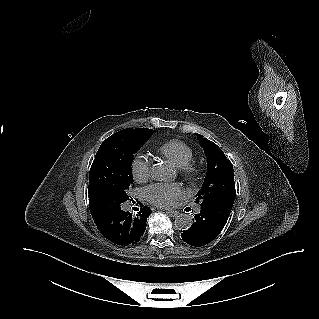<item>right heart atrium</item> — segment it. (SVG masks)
I'll return each mask as SVG.
<instances>
[{
	"label": "right heart atrium",
	"mask_w": 319,
	"mask_h": 319,
	"mask_svg": "<svg viewBox=\"0 0 319 319\" xmlns=\"http://www.w3.org/2000/svg\"><path fill=\"white\" fill-rule=\"evenodd\" d=\"M131 170L133 177L137 182L147 181L151 173L150 158L143 153L135 154L131 162Z\"/></svg>",
	"instance_id": "1"
}]
</instances>
